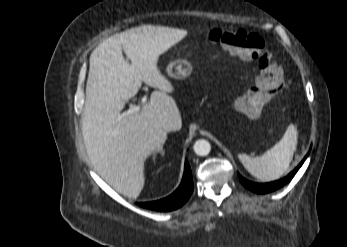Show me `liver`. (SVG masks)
<instances>
[{
    "label": "liver",
    "mask_w": 347,
    "mask_h": 247,
    "mask_svg": "<svg viewBox=\"0 0 347 247\" xmlns=\"http://www.w3.org/2000/svg\"><path fill=\"white\" fill-rule=\"evenodd\" d=\"M187 34L164 26H143L115 34L90 56L82 134L88 157L97 173L118 193L137 198L145 184L144 162L162 150L167 134L164 120L182 127L171 83L157 67L158 57ZM122 50L131 60L125 61ZM142 82L154 91L140 112L118 121L125 103Z\"/></svg>",
    "instance_id": "6515ba94"
}]
</instances>
